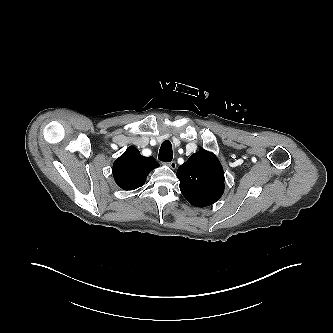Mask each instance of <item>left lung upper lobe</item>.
<instances>
[{
    "label": "left lung upper lobe",
    "instance_id": "5c2ea615",
    "mask_svg": "<svg viewBox=\"0 0 333 333\" xmlns=\"http://www.w3.org/2000/svg\"><path fill=\"white\" fill-rule=\"evenodd\" d=\"M185 199L195 207L215 203L224 192V172L217 157L204 149L192 154L176 173Z\"/></svg>",
    "mask_w": 333,
    "mask_h": 333
}]
</instances>
